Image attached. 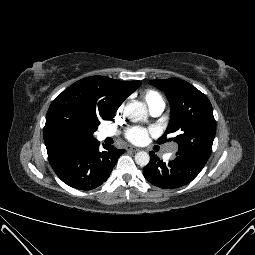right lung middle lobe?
I'll return each mask as SVG.
<instances>
[{
    "mask_svg": "<svg viewBox=\"0 0 255 255\" xmlns=\"http://www.w3.org/2000/svg\"><path fill=\"white\" fill-rule=\"evenodd\" d=\"M99 124H100V120L94 121V123L92 124V128H91L92 134L94 133V131H96Z\"/></svg>",
    "mask_w": 255,
    "mask_h": 255,
    "instance_id": "dd1d6c3e",
    "label": "right lung middle lobe"
}]
</instances>
